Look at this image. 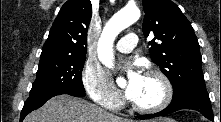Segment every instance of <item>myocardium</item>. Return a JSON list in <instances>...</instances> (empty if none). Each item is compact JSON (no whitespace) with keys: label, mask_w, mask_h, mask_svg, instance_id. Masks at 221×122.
Masks as SVG:
<instances>
[{"label":"myocardium","mask_w":221,"mask_h":122,"mask_svg":"<svg viewBox=\"0 0 221 122\" xmlns=\"http://www.w3.org/2000/svg\"><path fill=\"white\" fill-rule=\"evenodd\" d=\"M144 76L158 79L163 89L162 98L157 104L152 106H140L134 103L132 100H130L129 103L131 108L134 111L142 114L156 113L165 109L171 103L173 98V86L169 78L162 71L158 69L147 70Z\"/></svg>","instance_id":"obj_1"}]
</instances>
